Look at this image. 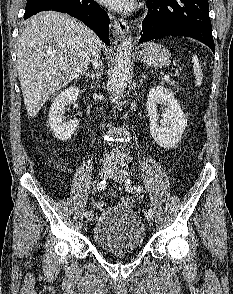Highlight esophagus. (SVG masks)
<instances>
[{
    "label": "esophagus",
    "instance_id": "esophagus-1",
    "mask_svg": "<svg viewBox=\"0 0 233 294\" xmlns=\"http://www.w3.org/2000/svg\"><path fill=\"white\" fill-rule=\"evenodd\" d=\"M112 26L114 27V36L116 38H123L129 32V26L127 22L122 18L111 17Z\"/></svg>",
    "mask_w": 233,
    "mask_h": 294
}]
</instances>
